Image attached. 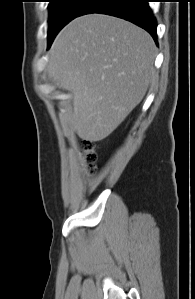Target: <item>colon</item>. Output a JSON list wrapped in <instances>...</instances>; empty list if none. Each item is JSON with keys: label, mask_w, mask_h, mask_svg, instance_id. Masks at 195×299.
<instances>
[{"label": "colon", "mask_w": 195, "mask_h": 299, "mask_svg": "<svg viewBox=\"0 0 195 299\" xmlns=\"http://www.w3.org/2000/svg\"><path fill=\"white\" fill-rule=\"evenodd\" d=\"M82 151L84 153L86 162L89 165V171L92 172L93 170V165L96 161L97 158V154H96V150H95V144L92 140L90 139H84L82 141Z\"/></svg>", "instance_id": "obj_1"}]
</instances>
